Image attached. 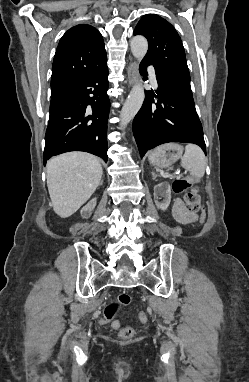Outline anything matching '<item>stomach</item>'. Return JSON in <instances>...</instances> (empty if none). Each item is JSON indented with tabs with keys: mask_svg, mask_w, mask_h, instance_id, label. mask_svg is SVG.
<instances>
[{
	"mask_svg": "<svg viewBox=\"0 0 249 382\" xmlns=\"http://www.w3.org/2000/svg\"><path fill=\"white\" fill-rule=\"evenodd\" d=\"M183 147L177 143L159 146L149 155V162L160 169L167 168L182 157Z\"/></svg>",
	"mask_w": 249,
	"mask_h": 382,
	"instance_id": "stomach-1",
	"label": "stomach"
}]
</instances>
